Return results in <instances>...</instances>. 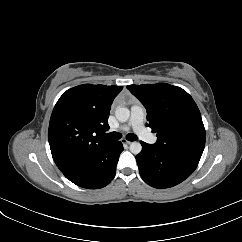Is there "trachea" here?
Masks as SVG:
<instances>
[{
  "label": "trachea",
  "mask_w": 242,
  "mask_h": 242,
  "mask_svg": "<svg viewBox=\"0 0 242 242\" xmlns=\"http://www.w3.org/2000/svg\"><path fill=\"white\" fill-rule=\"evenodd\" d=\"M101 137L111 139V140H118L122 137V135L119 132H111V133H108V134H102ZM126 139L128 141H136L138 139V137L135 134L129 133L126 136Z\"/></svg>",
  "instance_id": "obj_1"
}]
</instances>
